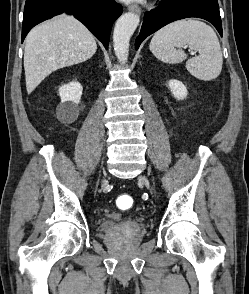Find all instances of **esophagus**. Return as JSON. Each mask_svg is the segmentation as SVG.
I'll return each instance as SVG.
<instances>
[{"mask_svg": "<svg viewBox=\"0 0 249 294\" xmlns=\"http://www.w3.org/2000/svg\"><path fill=\"white\" fill-rule=\"evenodd\" d=\"M128 9L129 11L135 12L137 14H141V8L136 4L130 5Z\"/></svg>", "mask_w": 249, "mask_h": 294, "instance_id": "34e87169", "label": "esophagus"}]
</instances>
